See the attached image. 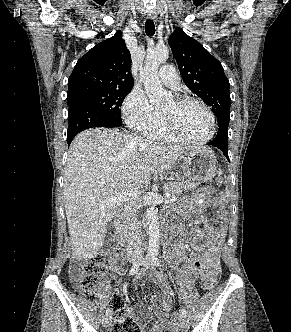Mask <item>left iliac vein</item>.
Here are the masks:
<instances>
[{"label": "left iliac vein", "instance_id": "obj_1", "mask_svg": "<svg viewBox=\"0 0 291 332\" xmlns=\"http://www.w3.org/2000/svg\"><path fill=\"white\" fill-rule=\"evenodd\" d=\"M140 264L150 270L154 269V264L152 263V261L150 260V258H141L140 259ZM180 327L183 331H187L189 328V322L188 319L184 316L180 317Z\"/></svg>", "mask_w": 291, "mask_h": 332}]
</instances>
